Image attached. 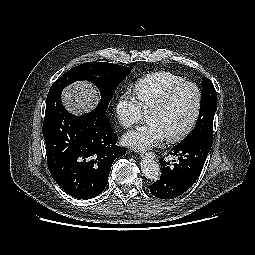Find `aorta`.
Instances as JSON below:
<instances>
[{
  "mask_svg": "<svg viewBox=\"0 0 255 255\" xmlns=\"http://www.w3.org/2000/svg\"><path fill=\"white\" fill-rule=\"evenodd\" d=\"M141 171L144 176L151 180L156 181L161 175V169L159 164L152 158H144L141 163Z\"/></svg>",
  "mask_w": 255,
  "mask_h": 255,
  "instance_id": "aorta-1",
  "label": "aorta"
}]
</instances>
